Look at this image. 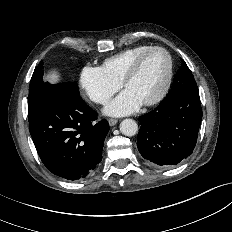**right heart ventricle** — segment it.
Returning <instances> with one entry per match:
<instances>
[{
  "label": "right heart ventricle",
  "mask_w": 232,
  "mask_h": 232,
  "mask_svg": "<svg viewBox=\"0 0 232 232\" xmlns=\"http://www.w3.org/2000/svg\"><path fill=\"white\" fill-rule=\"evenodd\" d=\"M152 46L150 45H137L124 51H121L111 57L106 58L101 68L105 73L115 82L121 83V80L129 68L132 61L143 51Z\"/></svg>",
  "instance_id": "right-heart-ventricle-1"
}]
</instances>
